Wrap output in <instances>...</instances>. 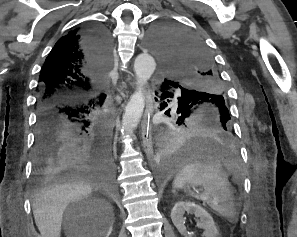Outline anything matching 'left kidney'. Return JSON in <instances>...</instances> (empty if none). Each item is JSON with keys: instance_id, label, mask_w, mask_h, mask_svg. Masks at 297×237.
I'll return each mask as SVG.
<instances>
[{"instance_id": "left-kidney-1", "label": "left kidney", "mask_w": 297, "mask_h": 237, "mask_svg": "<svg viewBox=\"0 0 297 237\" xmlns=\"http://www.w3.org/2000/svg\"><path fill=\"white\" fill-rule=\"evenodd\" d=\"M185 212L200 218L197 222V227L205 230L203 233L204 237H218L219 232L212 216L201 206L193 202L184 201L177 202L171 211L172 222L181 235L184 237L194 236V233L187 232L184 218Z\"/></svg>"}]
</instances>
